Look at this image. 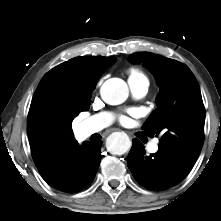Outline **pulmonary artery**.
<instances>
[{"mask_svg": "<svg viewBox=\"0 0 221 221\" xmlns=\"http://www.w3.org/2000/svg\"><path fill=\"white\" fill-rule=\"evenodd\" d=\"M128 84L132 95L136 98H142L148 92L149 81L147 78H129ZM113 118V114L109 112L99 113L90 117L84 124L85 133L92 134L106 128L112 123ZM147 149L151 153L157 152L158 140L150 142L147 145Z\"/></svg>", "mask_w": 221, "mask_h": 221, "instance_id": "obj_1", "label": "pulmonary artery"}]
</instances>
